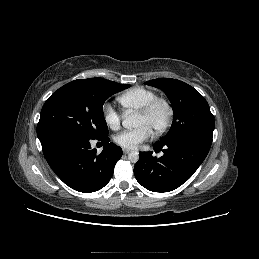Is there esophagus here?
Segmentation results:
<instances>
[{
    "label": "esophagus",
    "mask_w": 259,
    "mask_h": 259,
    "mask_svg": "<svg viewBox=\"0 0 259 259\" xmlns=\"http://www.w3.org/2000/svg\"><path fill=\"white\" fill-rule=\"evenodd\" d=\"M123 153H124V154H128V153H130V150H128V149H123Z\"/></svg>",
    "instance_id": "34e87169"
}]
</instances>
